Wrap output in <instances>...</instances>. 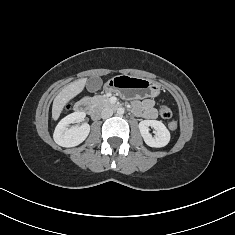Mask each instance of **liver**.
Instances as JSON below:
<instances>
[{
  "instance_id": "6515ba94",
  "label": "liver",
  "mask_w": 235,
  "mask_h": 235,
  "mask_svg": "<svg viewBox=\"0 0 235 235\" xmlns=\"http://www.w3.org/2000/svg\"><path fill=\"white\" fill-rule=\"evenodd\" d=\"M86 78L79 79L70 83L63 88L59 94L54 98L52 105V118L57 120L63 111L64 106L75 96H77L84 89L86 85Z\"/></svg>"
}]
</instances>
